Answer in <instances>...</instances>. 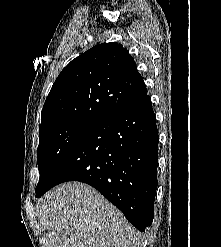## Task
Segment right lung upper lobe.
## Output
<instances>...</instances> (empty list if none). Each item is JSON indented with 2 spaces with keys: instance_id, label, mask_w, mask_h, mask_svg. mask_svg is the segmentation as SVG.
<instances>
[{
  "instance_id": "right-lung-upper-lobe-1",
  "label": "right lung upper lobe",
  "mask_w": 221,
  "mask_h": 247,
  "mask_svg": "<svg viewBox=\"0 0 221 247\" xmlns=\"http://www.w3.org/2000/svg\"><path fill=\"white\" fill-rule=\"evenodd\" d=\"M147 95L128 50L102 43L72 60L44 103L39 131L68 123L98 124Z\"/></svg>"
}]
</instances>
